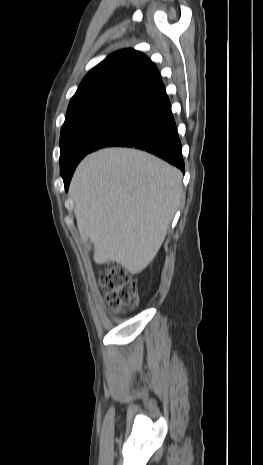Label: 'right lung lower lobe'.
<instances>
[{
	"label": "right lung lower lobe",
	"mask_w": 263,
	"mask_h": 465,
	"mask_svg": "<svg viewBox=\"0 0 263 465\" xmlns=\"http://www.w3.org/2000/svg\"><path fill=\"white\" fill-rule=\"evenodd\" d=\"M111 146L145 150L163 158L184 172L182 146L164 85L140 97L102 135L91 152ZM73 172L63 177L66 191Z\"/></svg>",
	"instance_id": "right-lung-lower-lobe-1"
}]
</instances>
